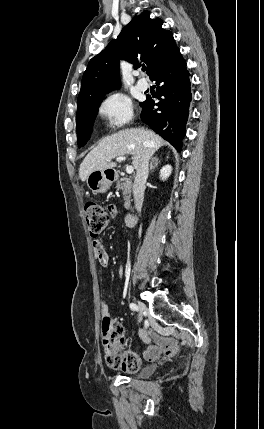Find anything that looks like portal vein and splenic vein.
<instances>
[{"label": "portal vein and splenic vein", "instance_id": "obj_1", "mask_svg": "<svg viewBox=\"0 0 264 429\" xmlns=\"http://www.w3.org/2000/svg\"><path fill=\"white\" fill-rule=\"evenodd\" d=\"M124 159H125V157H123V156H119L116 158L117 161H122ZM126 172H127V174H132L134 172V168L132 166H127Z\"/></svg>", "mask_w": 264, "mask_h": 429}]
</instances>
